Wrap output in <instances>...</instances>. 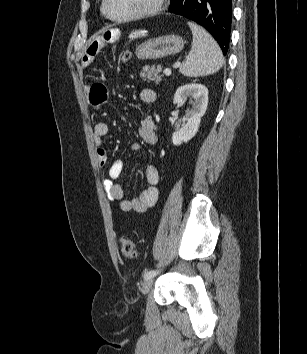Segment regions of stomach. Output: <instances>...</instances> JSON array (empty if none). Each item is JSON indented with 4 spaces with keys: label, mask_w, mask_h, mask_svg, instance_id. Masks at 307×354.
Instances as JSON below:
<instances>
[{
    "label": "stomach",
    "mask_w": 307,
    "mask_h": 354,
    "mask_svg": "<svg viewBox=\"0 0 307 354\" xmlns=\"http://www.w3.org/2000/svg\"><path fill=\"white\" fill-rule=\"evenodd\" d=\"M144 30L133 33V37L144 36ZM184 47L181 36L170 34L149 39L140 44L135 51L136 56L142 60H156L179 53Z\"/></svg>",
    "instance_id": "obj_1"
}]
</instances>
